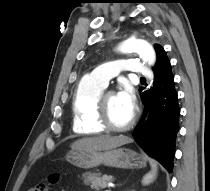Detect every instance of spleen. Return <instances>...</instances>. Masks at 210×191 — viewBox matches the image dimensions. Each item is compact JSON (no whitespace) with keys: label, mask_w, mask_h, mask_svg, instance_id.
<instances>
[{"label":"spleen","mask_w":210,"mask_h":191,"mask_svg":"<svg viewBox=\"0 0 210 191\" xmlns=\"http://www.w3.org/2000/svg\"><path fill=\"white\" fill-rule=\"evenodd\" d=\"M151 171L147 173L142 180L143 185H148L153 182L157 175V164L154 161H150Z\"/></svg>","instance_id":"3e777b00"}]
</instances>
